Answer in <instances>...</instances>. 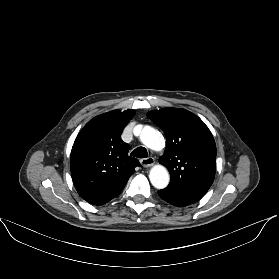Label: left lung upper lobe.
<instances>
[{"mask_svg": "<svg viewBox=\"0 0 279 279\" xmlns=\"http://www.w3.org/2000/svg\"><path fill=\"white\" fill-rule=\"evenodd\" d=\"M166 136V150L159 158L170 175L162 191L197 202L210 188L216 171V145L208 127L195 114L178 108L147 113Z\"/></svg>", "mask_w": 279, "mask_h": 279, "instance_id": "obj_1", "label": "left lung upper lobe"}]
</instances>
